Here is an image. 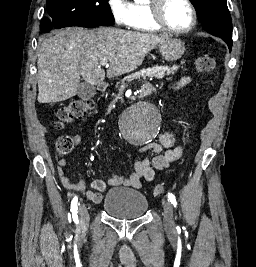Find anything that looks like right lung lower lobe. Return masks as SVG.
Segmentation results:
<instances>
[{
  "label": "right lung lower lobe",
  "mask_w": 256,
  "mask_h": 267,
  "mask_svg": "<svg viewBox=\"0 0 256 267\" xmlns=\"http://www.w3.org/2000/svg\"><path fill=\"white\" fill-rule=\"evenodd\" d=\"M81 27H88V28H92V27H97V26H81Z\"/></svg>",
  "instance_id": "right-lung-lower-lobe-1"
}]
</instances>
